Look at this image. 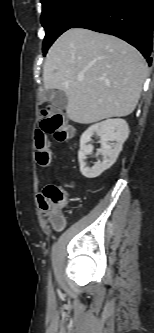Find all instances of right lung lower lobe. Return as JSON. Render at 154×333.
<instances>
[{"label":"right lung lower lobe","mask_w":154,"mask_h":333,"mask_svg":"<svg viewBox=\"0 0 154 333\" xmlns=\"http://www.w3.org/2000/svg\"><path fill=\"white\" fill-rule=\"evenodd\" d=\"M71 28L117 36L136 47L151 64L154 0H99Z\"/></svg>","instance_id":"98d812e1"}]
</instances>
